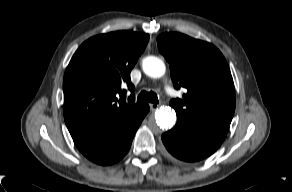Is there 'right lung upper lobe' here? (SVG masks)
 Here are the masks:
<instances>
[{"mask_svg": "<svg viewBox=\"0 0 292 192\" xmlns=\"http://www.w3.org/2000/svg\"><path fill=\"white\" fill-rule=\"evenodd\" d=\"M148 40V34L116 31L94 36L78 48L63 79L68 130L112 124L142 108L133 100H118L117 94L123 85L133 92L130 72Z\"/></svg>", "mask_w": 292, "mask_h": 192, "instance_id": "obj_1", "label": "right lung upper lobe"}]
</instances>
